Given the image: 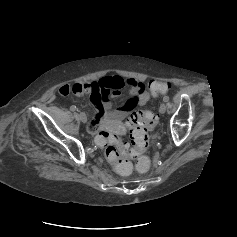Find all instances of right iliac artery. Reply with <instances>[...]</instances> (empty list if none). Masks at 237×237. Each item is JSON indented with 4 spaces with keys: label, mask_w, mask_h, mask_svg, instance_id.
I'll return each instance as SVG.
<instances>
[{
    "label": "right iliac artery",
    "mask_w": 237,
    "mask_h": 237,
    "mask_svg": "<svg viewBox=\"0 0 237 237\" xmlns=\"http://www.w3.org/2000/svg\"><path fill=\"white\" fill-rule=\"evenodd\" d=\"M70 110H71V111H75V110H76V106L72 105V106L70 107ZM77 111H78V110H77Z\"/></svg>",
    "instance_id": "obj_1"
}]
</instances>
